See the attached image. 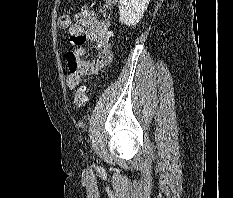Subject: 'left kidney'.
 I'll use <instances>...</instances> for the list:
<instances>
[{"label":"left kidney","mask_w":233,"mask_h":198,"mask_svg":"<svg viewBox=\"0 0 233 198\" xmlns=\"http://www.w3.org/2000/svg\"><path fill=\"white\" fill-rule=\"evenodd\" d=\"M150 0H119V21L127 26L136 25L144 15Z\"/></svg>","instance_id":"left-kidney-1"}]
</instances>
